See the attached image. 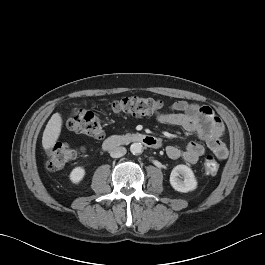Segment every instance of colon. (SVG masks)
I'll return each instance as SVG.
<instances>
[{"instance_id": "obj_1", "label": "colon", "mask_w": 265, "mask_h": 265, "mask_svg": "<svg viewBox=\"0 0 265 265\" xmlns=\"http://www.w3.org/2000/svg\"><path fill=\"white\" fill-rule=\"evenodd\" d=\"M111 109L116 113L130 116H152L160 112L162 102L147 97H125L111 104ZM71 131L100 140L103 137V125L100 118L85 110H76L67 121ZM78 154L76 148L65 143L51 146L47 153V167L50 171H57L71 162ZM203 169L207 175H214L219 170V162L214 155H207L203 160Z\"/></svg>"}]
</instances>
